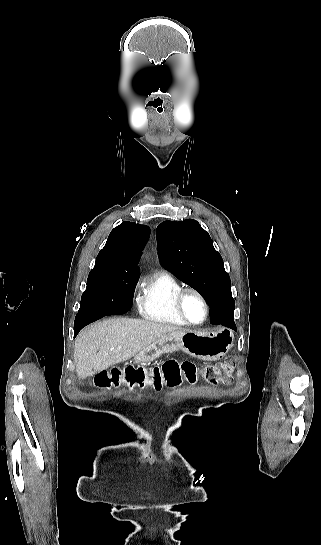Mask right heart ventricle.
Returning <instances> with one entry per match:
<instances>
[{
  "label": "right heart ventricle",
  "instance_id": "e07e8e85",
  "mask_svg": "<svg viewBox=\"0 0 321 545\" xmlns=\"http://www.w3.org/2000/svg\"><path fill=\"white\" fill-rule=\"evenodd\" d=\"M181 288L183 285L173 275L161 271L154 273L139 301L141 317L154 324L184 327L172 307L173 297Z\"/></svg>",
  "mask_w": 321,
  "mask_h": 545
}]
</instances>
